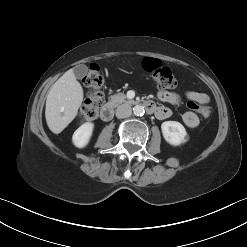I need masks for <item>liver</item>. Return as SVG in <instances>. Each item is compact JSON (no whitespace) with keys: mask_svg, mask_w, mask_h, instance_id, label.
Wrapping results in <instances>:
<instances>
[{"mask_svg":"<svg viewBox=\"0 0 247 247\" xmlns=\"http://www.w3.org/2000/svg\"><path fill=\"white\" fill-rule=\"evenodd\" d=\"M83 101V88L72 69L65 72L51 87L45 108L49 129L61 133L76 117Z\"/></svg>","mask_w":247,"mask_h":247,"instance_id":"6515ba94","label":"liver"}]
</instances>
